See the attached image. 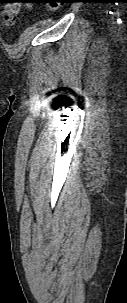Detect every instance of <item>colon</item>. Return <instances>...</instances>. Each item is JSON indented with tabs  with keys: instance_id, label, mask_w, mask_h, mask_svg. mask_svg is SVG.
I'll list each match as a JSON object with an SVG mask.
<instances>
[{
	"instance_id": "colon-1",
	"label": "colon",
	"mask_w": 127,
	"mask_h": 303,
	"mask_svg": "<svg viewBox=\"0 0 127 303\" xmlns=\"http://www.w3.org/2000/svg\"><path fill=\"white\" fill-rule=\"evenodd\" d=\"M50 2H51V3L49 4V5H50V9H51L52 11H56V10L58 9V7H59V4L56 3V2H57L56 0H51Z\"/></svg>"
}]
</instances>
